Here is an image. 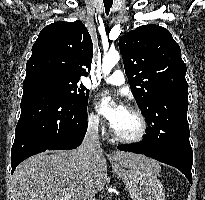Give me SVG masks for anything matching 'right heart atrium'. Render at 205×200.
<instances>
[{"label":"right heart atrium","instance_id":"1","mask_svg":"<svg viewBox=\"0 0 205 200\" xmlns=\"http://www.w3.org/2000/svg\"><path fill=\"white\" fill-rule=\"evenodd\" d=\"M87 120L88 126L92 131L98 132L102 129V120L97 112H89Z\"/></svg>","mask_w":205,"mask_h":200}]
</instances>
